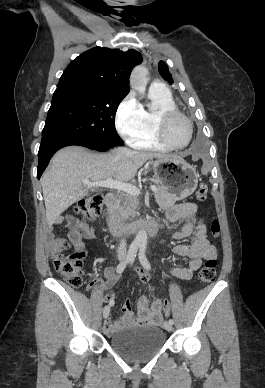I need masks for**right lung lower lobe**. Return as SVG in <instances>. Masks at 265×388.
Returning <instances> with one entry per match:
<instances>
[{"label":"right lung lower lobe","mask_w":265,"mask_h":388,"mask_svg":"<svg viewBox=\"0 0 265 388\" xmlns=\"http://www.w3.org/2000/svg\"><path fill=\"white\" fill-rule=\"evenodd\" d=\"M69 145L84 146L89 149H94L100 152H103L109 149V147L96 146L85 139L75 137V136H60V137L52 138L45 142H41L39 152H38V158H39V164L37 167L38 179L41 177L43 171L47 167L53 154L60 148L69 146Z\"/></svg>","instance_id":"right-lung-lower-lobe-1"}]
</instances>
